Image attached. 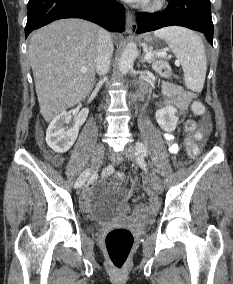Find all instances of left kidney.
<instances>
[{
	"label": "left kidney",
	"mask_w": 233,
	"mask_h": 284,
	"mask_svg": "<svg viewBox=\"0 0 233 284\" xmlns=\"http://www.w3.org/2000/svg\"><path fill=\"white\" fill-rule=\"evenodd\" d=\"M177 110L173 106H167L156 111V120L159 126L167 132L175 130L179 118L175 115Z\"/></svg>",
	"instance_id": "obj_1"
}]
</instances>
